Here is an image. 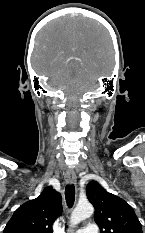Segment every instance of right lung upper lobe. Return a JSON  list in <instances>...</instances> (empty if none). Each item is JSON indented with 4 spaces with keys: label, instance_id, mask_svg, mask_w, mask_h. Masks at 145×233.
Returning a JSON list of instances; mask_svg holds the SVG:
<instances>
[{
    "label": "right lung upper lobe",
    "instance_id": "1",
    "mask_svg": "<svg viewBox=\"0 0 145 233\" xmlns=\"http://www.w3.org/2000/svg\"><path fill=\"white\" fill-rule=\"evenodd\" d=\"M61 213V196L52 187H46L36 199L14 212L3 233H52V225Z\"/></svg>",
    "mask_w": 145,
    "mask_h": 233
}]
</instances>
